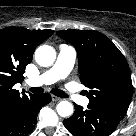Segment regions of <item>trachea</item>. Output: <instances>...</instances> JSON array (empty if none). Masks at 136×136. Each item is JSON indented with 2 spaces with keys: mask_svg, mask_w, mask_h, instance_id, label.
I'll list each match as a JSON object with an SVG mask.
<instances>
[{
  "mask_svg": "<svg viewBox=\"0 0 136 136\" xmlns=\"http://www.w3.org/2000/svg\"><path fill=\"white\" fill-rule=\"evenodd\" d=\"M30 91H31L32 93H41V92L44 91V89L41 88V87H33V88L30 89ZM51 92H52L54 95L58 96V97L68 98V95H67L64 91H62V90L53 89Z\"/></svg>",
  "mask_w": 136,
  "mask_h": 136,
  "instance_id": "obj_1",
  "label": "trachea"
}]
</instances>
